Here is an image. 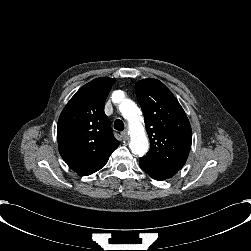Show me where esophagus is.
Masks as SVG:
<instances>
[{
  "mask_svg": "<svg viewBox=\"0 0 251 251\" xmlns=\"http://www.w3.org/2000/svg\"><path fill=\"white\" fill-rule=\"evenodd\" d=\"M121 135H122V137H123L125 140H127V139L129 138V137H128L127 131L121 132Z\"/></svg>",
  "mask_w": 251,
  "mask_h": 251,
  "instance_id": "1",
  "label": "esophagus"
}]
</instances>
